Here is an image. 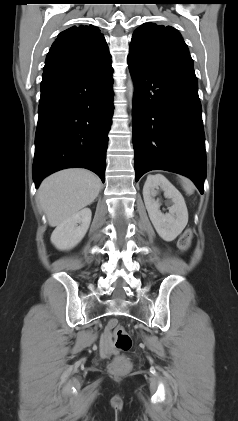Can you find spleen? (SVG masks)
<instances>
[{"mask_svg":"<svg viewBox=\"0 0 238 421\" xmlns=\"http://www.w3.org/2000/svg\"><path fill=\"white\" fill-rule=\"evenodd\" d=\"M182 185H183L184 190H185L188 194H192V193H193V191H194V186H193V184H192V182H191V181H189V180H188V179H186V178H182Z\"/></svg>","mask_w":238,"mask_h":421,"instance_id":"1","label":"spleen"}]
</instances>
